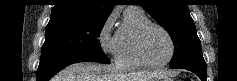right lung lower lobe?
<instances>
[{
  "label": "right lung lower lobe",
  "instance_id": "1",
  "mask_svg": "<svg viewBox=\"0 0 237 81\" xmlns=\"http://www.w3.org/2000/svg\"><path fill=\"white\" fill-rule=\"evenodd\" d=\"M99 62L109 64L106 58L96 55H44L37 70V81H48L66 66L77 62Z\"/></svg>",
  "mask_w": 237,
  "mask_h": 81
}]
</instances>
